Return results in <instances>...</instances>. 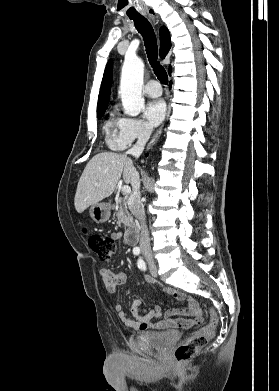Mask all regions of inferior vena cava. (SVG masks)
<instances>
[{
	"label": "inferior vena cava",
	"instance_id": "602c4592",
	"mask_svg": "<svg viewBox=\"0 0 279 391\" xmlns=\"http://www.w3.org/2000/svg\"><path fill=\"white\" fill-rule=\"evenodd\" d=\"M151 135V129L149 127H145L140 133L136 144L129 149L126 154L132 155L134 157H139L145 147V144L149 140ZM131 185H132V194L129 197L128 205L132 214L135 216L136 220L140 223V248L143 255L151 254V246L149 233L146 226V218L144 206L141 201V193H140V178L136 169H133L132 177H131Z\"/></svg>",
	"mask_w": 279,
	"mask_h": 391
}]
</instances>
